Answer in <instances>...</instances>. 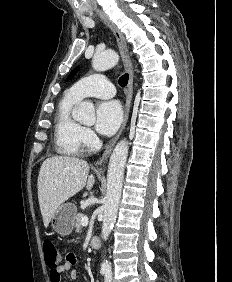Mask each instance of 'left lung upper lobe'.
I'll return each instance as SVG.
<instances>
[{"instance_id": "1", "label": "left lung upper lobe", "mask_w": 232, "mask_h": 282, "mask_svg": "<svg viewBox=\"0 0 232 282\" xmlns=\"http://www.w3.org/2000/svg\"><path fill=\"white\" fill-rule=\"evenodd\" d=\"M77 70H78V68H75V69L70 73L69 77L67 78V81H68L70 78H72V77L76 74Z\"/></svg>"}]
</instances>
